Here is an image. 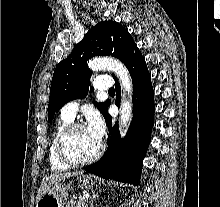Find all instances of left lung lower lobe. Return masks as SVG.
Here are the masks:
<instances>
[{"mask_svg": "<svg viewBox=\"0 0 220 207\" xmlns=\"http://www.w3.org/2000/svg\"><path fill=\"white\" fill-rule=\"evenodd\" d=\"M124 64L133 80V119L127 136L121 141L118 123L112 127V118L106 110L104 118L110 130L108 148L101 160L85 170L105 179L138 185L154 125V91L145 59L137 46ZM115 87L118 97L116 104L119 106L121 88L117 80Z\"/></svg>", "mask_w": 220, "mask_h": 207, "instance_id": "1", "label": "left lung lower lobe"}]
</instances>
